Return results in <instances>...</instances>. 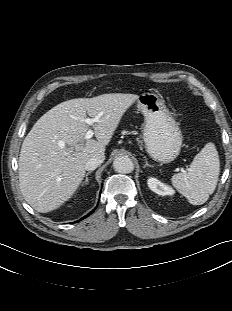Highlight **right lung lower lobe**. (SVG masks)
Returning <instances> with one entry per match:
<instances>
[{"label": "right lung lower lobe", "mask_w": 232, "mask_h": 311, "mask_svg": "<svg viewBox=\"0 0 232 311\" xmlns=\"http://www.w3.org/2000/svg\"><path fill=\"white\" fill-rule=\"evenodd\" d=\"M92 212H94V210L93 211H91L90 213H88L86 216H84L83 218H81V219H84V218H86L87 216H89Z\"/></svg>", "instance_id": "98d812e1"}]
</instances>
